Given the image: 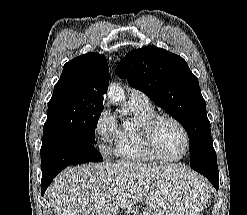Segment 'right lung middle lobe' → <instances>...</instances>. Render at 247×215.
Returning a JSON list of instances; mask_svg holds the SVG:
<instances>
[{
    "label": "right lung middle lobe",
    "instance_id": "obj_1",
    "mask_svg": "<svg viewBox=\"0 0 247 215\" xmlns=\"http://www.w3.org/2000/svg\"><path fill=\"white\" fill-rule=\"evenodd\" d=\"M102 108L103 103L75 96L70 90L54 92L48 103L42 146L66 137L95 144V128Z\"/></svg>",
    "mask_w": 247,
    "mask_h": 215
}]
</instances>
